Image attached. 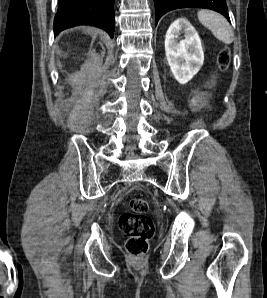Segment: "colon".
<instances>
[{"instance_id":"colon-1","label":"colon","mask_w":267,"mask_h":298,"mask_svg":"<svg viewBox=\"0 0 267 298\" xmlns=\"http://www.w3.org/2000/svg\"><path fill=\"white\" fill-rule=\"evenodd\" d=\"M230 63L228 49L220 52L218 64L220 69L226 70ZM148 203L142 198H133L129 209L124 211L118 220L119 228L127 236L126 250L134 258L143 257L153 237L155 227L153 220L147 215Z\"/></svg>"}]
</instances>
